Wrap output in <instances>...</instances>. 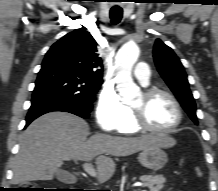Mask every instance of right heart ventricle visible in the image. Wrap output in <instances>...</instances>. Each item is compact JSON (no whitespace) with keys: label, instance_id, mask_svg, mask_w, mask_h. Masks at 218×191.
Returning <instances> with one entry per match:
<instances>
[{"label":"right heart ventricle","instance_id":"1","mask_svg":"<svg viewBox=\"0 0 218 191\" xmlns=\"http://www.w3.org/2000/svg\"><path fill=\"white\" fill-rule=\"evenodd\" d=\"M118 131L120 133H128V134H133L138 132V129L134 125L132 111L130 110V108H129L128 118L126 119L125 122L122 123Z\"/></svg>","mask_w":218,"mask_h":191}]
</instances>
